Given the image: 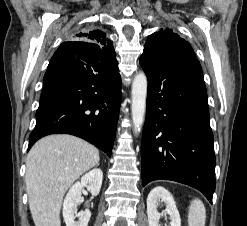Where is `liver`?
<instances>
[{
  "label": "liver",
  "mask_w": 247,
  "mask_h": 226,
  "mask_svg": "<svg viewBox=\"0 0 247 226\" xmlns=\"http://www.w3.org/2000/svg\"><path fill=\"white\" fill-rule=\"evenodd\" d=\"M99 160L93 145L71 135H50L35 143L27 155L25 176L35 226H61L66 191Z\"/></svg>",
  "instance_id": "1"
}]
</instances>
